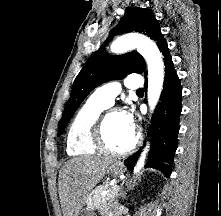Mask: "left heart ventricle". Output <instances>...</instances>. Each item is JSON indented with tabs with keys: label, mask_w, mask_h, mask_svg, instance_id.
Masks as SVG:
<instances>
[{
	"label": "left heart ventricle",
	"mask_w": 221,
	"mask_h": 216,
	"mask_svg": "<svg viewBox=\"0 0 221 216\" xmlns=\"http://www.w3.org/2000/svg\"><path fill=\"white\" fill-rule=\"evenodd\" d=\"M105 137L108 145L114 149H123L132 142L134 132L127 127L121 112L108 117Z\"/></svg>",
	"instance_id": "b2bd125f"
}]
</instances>
